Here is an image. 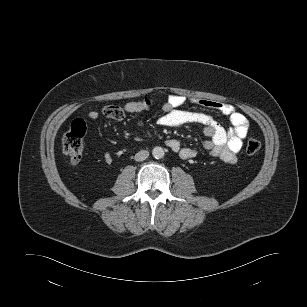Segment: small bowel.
Returning a JSON list of instances; mask_svg holds the SVG:
<instances>
[{
  "instance_id": "c3829d8e",
  "label": "small bowel",
  "mask_w": 307,
  "mask_h": 307,
  "mask_svg": "<svg viewBox=\"0 0 307 307\" xmlns=\"http://www.w3.org/2000/svg\"><path fill=\"white\" fill-rule=\"evenodd\" d=\"M185 103V98L180 95L169 96L163 106L164 115L158 119V124L167 127H181L188 124H201L207 139L202 144V149L211 156L218 157L228 164L237 161V153L243 145V140L248 134L249 123L247 118L231 104L201 99L195 101L196 104L207 109H212L229 117L231 127L227 130L212 115L204 111L182 110L180 107ZM151 101L148 99L141 101H131L123 106L107 105L101 112L91 110L88 113L90 120H97L101 114L104 116L122 120L128 113H139L149 110ZM141 124V122L139 123ZM166 145L178 152L184 160L194 158L198 150L191 147H182L180 142L174 138L166 140Z\"/></svg>"
}]
</instances>
